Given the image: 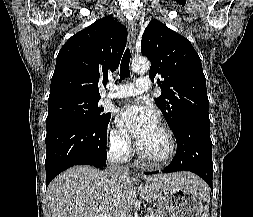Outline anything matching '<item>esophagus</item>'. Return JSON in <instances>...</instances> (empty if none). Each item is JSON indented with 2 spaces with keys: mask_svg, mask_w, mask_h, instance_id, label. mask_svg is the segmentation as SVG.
Returning a JSON list of instances; mask_svg holds the SVG:
<instances>
[{
  "mask_svg": "<svg viewBox=\"0 0 253 217\" xmlns=\"http://www.w3.org/2000/svg\"><path fill=\"white\" fill-rule=\"evenodd\" d=\"M128 32H129V45L131 51L133 52L136 39V24L133 21L128 22ZM135 176L137 177V174Z\"/></svg>",
  "mask_w": 253,
  "mask_h": 217,
  "instance_id": "1",
  "label": "esophagus"
}]
</instances>
